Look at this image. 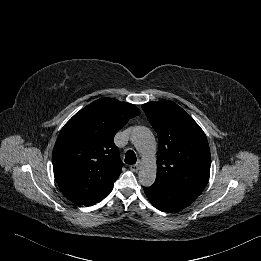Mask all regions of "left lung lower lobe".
Instances as JSON below:
<instances>
[{
    "label": "left lung lower lobe",
    "mask_w": 261,
    "mask_h": 261,
    "mask_svg": "<svg viewBox=\"0 0 261 261\" xmlns=\"http://www.w3.org/2000/svg\"><path fill=\"white\" fill-rule=\"evenodd\" d=\"M144 191L153 206L163 212L184 209L198 197L196 193L156 183Z\"/></svg>",
    "instance_id": "1"
}]
</instances>
